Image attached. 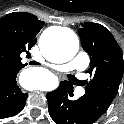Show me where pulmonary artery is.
<instances>
[{"label":"pulmonary artery","mask_w":124,"mask_h":124,"mask_svg":"<svg viewBox=\"0 0 124 124\" xmlns=\"http://www.w3.org/2000/svg\"><path fill=\"white\" fill-rule=\"evenodd\" d=\"M90 59L87 53L80 52L74 60L69 63L54 66L53 69L60 72L67 71H84L89 65ZM84 94L83 89L77 91V95L81 96Z\"/></svg>","instance_id":"obj_1"}]
</instances>
